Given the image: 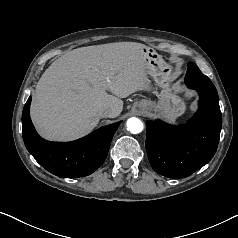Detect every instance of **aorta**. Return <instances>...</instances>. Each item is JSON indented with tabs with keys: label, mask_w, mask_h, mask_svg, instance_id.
Instances as JSON below:
<instances>
[{
	"label": "aorta",
	"mask_w": 238,
	"mask_h": 238,
	"mask_svg": "<svg viewBox=\"0 0 238 238\" xmlns=\"http://www.w3.org/2000/svg\"><path fill=\"white\" fill-rule=\"evenodd\" d=\"M127 130L130 131L132 134H138L143 131V123L139 118L131 117L127 120L126 123Z\"/></svg>",
	"instance_id": "1"
}]
</instances>
